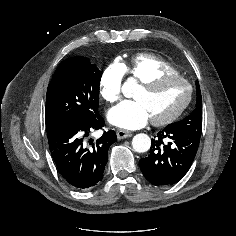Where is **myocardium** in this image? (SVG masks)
I'll use <instances>...</instances> for the list:
<instances>
[{"instance_id": "f54148a6", "label": "myocardium", "mask_w": 236, "mask_h": 236, "mask_svg": "<svg viewBox=\"0 0 236 236\" xmlns=\"http://www.w3.org/2000/svg\"><path fill=\"white\" fill-rule=\"evenodd\" d=\"M168 80L182 81L186 85L187 96L184 102L171 114L162 118H152L151 122L157 126L167 125L175 121L186 110V108L188 107V105L190 104L192 100V95H193L192 86L187 79H185L183 76L179 74H174V73L161 74L148 81L141 83L140 88L149 89V90L154 89Z\"/></svg>"}]
</instances>
